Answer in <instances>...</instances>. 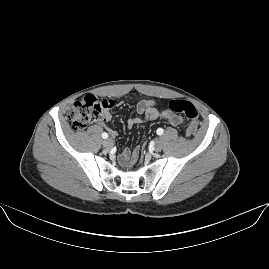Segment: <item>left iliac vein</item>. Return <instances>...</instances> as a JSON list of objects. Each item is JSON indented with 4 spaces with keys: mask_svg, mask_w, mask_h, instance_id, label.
I'll return each mask as SVG.
<instances>
[{
    "mask_svg": "<svg viewBox=\"0 0 269 269\" xmlns=\"http://www.w3.org/2000/svg\"><path fill=\"white\" fill-rule=\"evenodd\" d=\"M154 149L156 152H160L163 149L162 142L158 139L155 142Z\"/></svg>",
    "mask_w": 269,
    "mask_h": 269,
    "instance_id": "obj_1",
    "label": "left iliac vein"
}]
</instances>
